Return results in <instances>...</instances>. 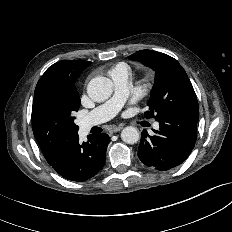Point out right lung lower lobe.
Listing matches in <instances>:
<instances>
[{
    "mask_svg": "<svg viewBox=\"0 0 232 232\" xmlns=\"http://www.w3.org/2000/svg\"><path fill=\"white\" fill-rule=\"evenodd\" d=\"M109 136L105 133L89 135L88 141L79 143L78 134L62 147L51 166L62 177L72 181H85L95 176L105 164Z\"/></svg>",
    "mask_w": 232,
    "mask_h": 232,
    "instance_id": "98d812e1",
    "label": "right lung lower lobe"
}]
</instances>
